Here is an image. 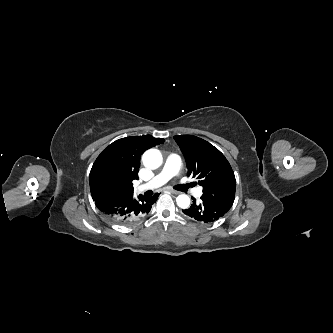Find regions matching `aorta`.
<instances>
[{
    "label": "aorta",
    "mask_w": 333,
    "mask_h": 333,
    "mask_svg": "<svg viewBox=\"0 0 333 333\" xmlns=\"http://www.w3.org/2000/svg\"><path fill=\"white\" fill-rule=\"evenodd\" d=\"M142 160L146 167L157 169L162 163V154L159 150L149 149L143 154ZM176 201L177 205L183 209L188 208L190 205V198L185 194L179 195Z\"/></svg>",
    "instance_id": "obj_1"
}]
</instances>
